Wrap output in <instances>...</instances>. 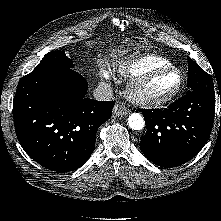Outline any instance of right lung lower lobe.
I'll return each mask as SVG.
<instances>
[{"instance_id": "98d812e1", "label": "right lung lower lobe", "mask_w": 221, "mask_h": 221, "mask_svg": "<svg viewBox=\"0 0 221 221\" xmlns=\"http://www.w3.org/2000/svg\"><path fill=\"white\" fill-rule=\"evenodd\" d=\"M87 89L72 68H50L19 81L13 101L16 135L43 167L72 171L91 156L96 132L111 117L114 102L88 99Z\"/></svg>"}]
</instances>
